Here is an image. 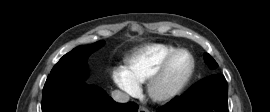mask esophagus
Wrapping results in <instances>:
<instances>
[{"label":"esophagus","mask_w":270,"mask_h":112,"mask_svg":"<svg viewBox=\"0 0 270 112\" xmlns=\"http://www.w3.org/2000/svg\"><path fill=\"white\" fill-rule=\"evenodd\" d=\"M138 112H149V110L146 109L145 107L140 106Z\"/></svg>","instance_id":"obj_1"}]
</instances>
